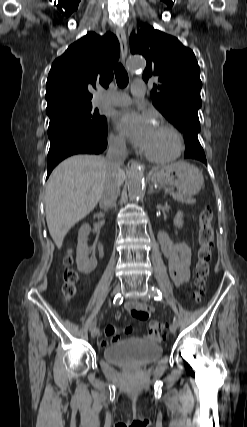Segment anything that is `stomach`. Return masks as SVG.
<instances>
[{
	"instance_id": "0dacf381",
	"label": "stomach",
	"mask_w": 247,
	"mask_h": 427,
	"mask_svg": "<svg viewBox=\"0 0 247 427\" xmlns=\"http://www.w3.org/2000/svg\"><path fill=\"white\" fill-rule=\"evenodd\" d=\"M151 180L155 184L175 186L178 193L188 199L196 195L204 183L200 170L185 161L162 168L152 175Z\"/></svg>"
}]
</instances>
